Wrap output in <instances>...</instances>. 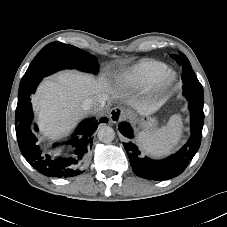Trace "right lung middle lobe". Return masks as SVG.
I'll return each mask as SVG.
<instances>
[{
  "instance_id": "dd1d6c3e",
  "label": "right lung middle lobe",
  "mask_w": 227,
  "mask_h": 227,
  "mask_svg": "<svg viewBox=\"0 0 227 227\" xmlns=\"http://www.w3.org/2000/svg\"><path fill=\"white\" fill-rule=\"evenodd\" d=\"M98 66L96 57L90 53L72 45L53 42L43 47L36 55L24 74L19 88L61 69L75 68L96 73Z\"/></svg>"
}]
</instances>
